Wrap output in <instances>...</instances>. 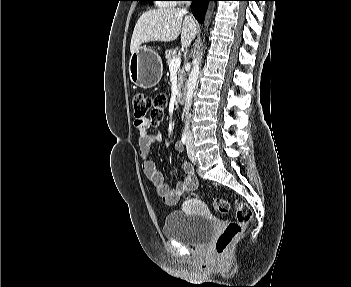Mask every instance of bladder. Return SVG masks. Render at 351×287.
Wrapping results in <instances>:
<instances>
[{
  "instance_id": "31cf9c89",
  "label": "bladder",
  "mask_w": 351,
  "mask_h": 287,
  "mask_svg": "<svg viewBox=\"0 0 351 287\" xmlns=\"http://www.w3.org/2000/svg\"><path fill=\"white\" fill-rule=\"evenodd\" d=\"M215 226L216 221L208 215L194 217L183 211H173L165 219L163 235L183 245L199 246L211 237Z\"/></svg>"
}]
</instances>
